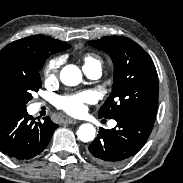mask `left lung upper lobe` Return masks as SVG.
<instances>
[{"label":"left lung upper lobe","mask_w":183,"mask_h":183,"mask_svg":"<svg viewBox=\"0 0 183 183\" xmlns=\"http://www.w3.org/2000/svg\"><path fill=\"white\" fill-rule=\"evenodd\" d=\"M89 45L108 53L114 65L112 92L98 115L114 119L137 115L155 121L158 104V76L146 51L122 36H108Z\"/></svg>","instance_id":"5c2ea615"}]
</instances>
